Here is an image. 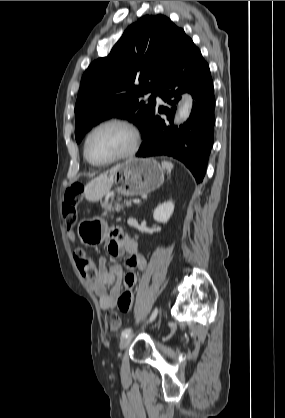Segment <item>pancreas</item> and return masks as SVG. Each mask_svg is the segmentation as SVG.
I'll list each match as a JSON object with an SVG mask.
<instances>
[{
    "mask_svg": "<svg viewBox=\"0 0 285 418\" xmlns=\"http://www.w3.org/2000/svg\"><path fill=\"white\" fill-rule=\"evenodd\" d=\"M102 207L105 210H107V208H108V211H114V210L120 211L123 208V205L116 204L115 206H112V205L103 204ZM103 215L106 216L107 215V211Z\"/></svg>",
    "mask_w": 285,
    "mask_h": 418,
    "instance_id": "obj_1",
    "label": "pancreas"
}]
</instances>
